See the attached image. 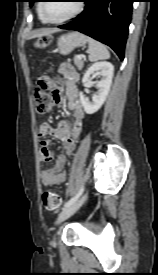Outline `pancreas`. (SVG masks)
Returning <instances> with one entry per match:
<instances>
[{"label":"pancreas","instance_id":"cf45deb5","mask_svg":"<svg viewBox=\"0 0 158 275\" xmlns=\"http://www.w3.org/2000/svg\"><path fill=\"white\" fill-rule=\"evenodd\" d=\"M74 63H75L76 67H77L79 70H82L83 65H84V62L82 61V59H78V58L75 56V57H74Z\"/></svg>","mask_w":158,"mask_h":275}]
</instances>
